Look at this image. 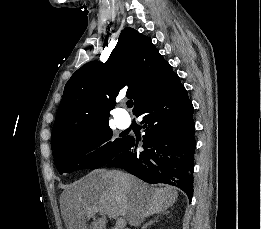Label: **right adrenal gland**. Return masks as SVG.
Masks as SVG:
<instances>
[{
	"instance_id": "right-adrenal-gland-1",
	"label": "right adrenal gland",
	"mask_w": 261,
	"mask_h": 229,
	"mask_svg": "<svg viewBox=\"0 0 261 229\" xmlns=\"http://www.w3.org/2000/svg\"><path fill=\"white\" fill-rule=\"evenodd\" d=\"M169 213V211H167ZM162 215H166V213H162ZM160 217V215H157V217H154L153 221H149V223H146V225H143L142 229H147L149 225H152V223H157V219Z\"/></svg>"
}]
</instances>
